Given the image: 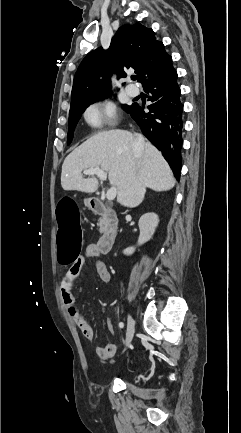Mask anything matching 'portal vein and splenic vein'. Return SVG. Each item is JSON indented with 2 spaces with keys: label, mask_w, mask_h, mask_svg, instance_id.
Segmentation results:
<instances>
[{
  "label": "portal vein and splenic vein",
  "mask_w": 241,
  "mask_h": 433,
  "mask_svg": "<svg viewBox=\"0 0 241 433\" xmlns=\"http://www.w3.org/2000/svg\"><path fill=\"white\" fill-rule=\"evenodd\" d=\"M83 173L85 175H97L100 180L105 181L107 179V174L100 168H90L87 170H84ZM117 194L116 187L110 188L106 193V198L108 201H112L115 199Z\"/></svg>",
  "instance_id": "18ae733b"
}]
</instances>
